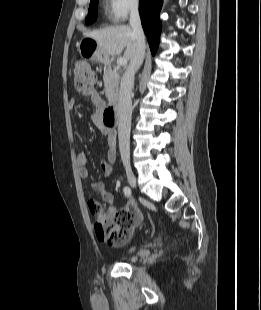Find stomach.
<instances>
[{
  "label": "stomach",
  "instance_id": "0dacf381",
  "mask_svg": "<svg viewBox=\"0 0 261 310\" xmlns=\"http://www.w3.org/2000/svg\"><path fill=\"white\" fill-rule=\"evenodd\" d=\"M79 52L89 61H102L104 58V54L100 51L98 43L91 38H85L80 42Z\"/></svg>",
  "mask_w": 261,
  "mask_h": 310
}]
</instances>
